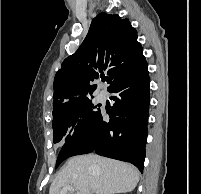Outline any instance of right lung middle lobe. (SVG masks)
Here are the masks:
<instances>
[{"mask_svg": "<svg viewBox=\"0 0 201 194\" xmlns=\"http://www.w3.org/2000/svg\"><path fill=\"white\" fill-rule=\"evenodd\" d=\"M100 108L94 106L90 99L82 101L68 114L53 119L54 143L65 139L67 141L87 128L100 114ZM67 157L59 154L56 167H58Z\"/></svg>", "mask_w": 201, "mask_h": 194, "instance_id": "right-lung-middle-lobe-1", "label": "right lung middle lobe"}]
</instances>
